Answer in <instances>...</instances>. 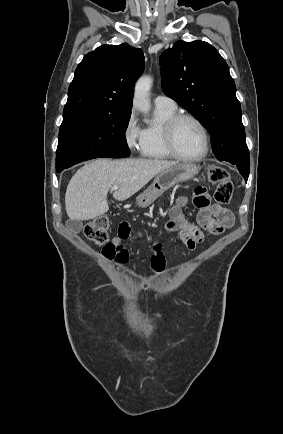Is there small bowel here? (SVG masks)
Returning <instances> with one entry per match:
<instances>
[{"label":"small bowel","instance_id":"obj_1","mask_svg":"<svg viewBox=\"0 0 283 434\" xmlns=\"http://www.w3.org/2000/svg\"><path fill=\"white\" fill-rule=\"evenodd\" d=\"M189 201L190 198L187 194L180 195L175 205L170 209L171 220L167 223V229L178 232L181 241L188 250L195 251L205 241V232L220 235L234 224V216L230 210L218 205H211L205 187L200 186L194 190L193 202L199 209L195 223L189 222L183 213V208L189 204ZM130 232L129 223L127 221L121 222L117 236L103 249V257L106 260H115L119 264L127 261L129 253L122 242L130 237ZM151 263L155 273L162 272L165 267L161 246L158 243L154 245Z\"/></svg>","mask_w":283,"mask_h":434}]
</instances>
